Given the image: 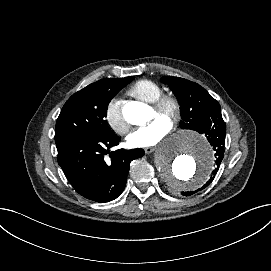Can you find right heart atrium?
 Returning a JSON list of instances; mask_svg holds the SVG:
<instances>
[{"label": "right heart atrium", "instance_id": "obj_1", "mask_svg": "<svg viewBox=\"0 0 271 271\" xmlns=\"http://www.w3.org/2000/svg\"><path fill=\"white\" fill-rule=\"evenodd\" d=\"M121 102L119 95L111 96L105 104L104 119L112 130L120 135H124L129 130V125L122 111Z\"/></svg>", "mask_w": 271, "mask_h": 271}]
</instances>
